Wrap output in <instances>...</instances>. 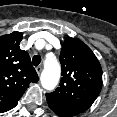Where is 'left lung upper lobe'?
<instances>
[{"instance_id": "1", "label": "left lung upper lobe", "mask_w": 117, "mask_h": 117, "mask_svg": "<svg viewBox=\"0 0 117 117\" xmlns=\"http://www.w3.org/2000/svg\"><path fill=\"white\" fill-rule=\"evenodd\" d=\"M60 86L47 99L65 103L80 113L91 107L102 87V68L92 50L77 38H66L60 53Z\"/></svg>"}]
</instances>
